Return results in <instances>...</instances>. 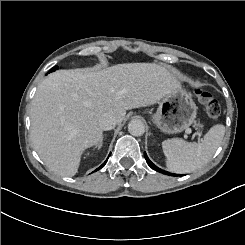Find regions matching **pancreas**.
<instances>
[{
    "instance_id": "cf45deb5",
    "label": "pancreas",
    "mask_w": 245,
    "mask_h": 245,
    "mask_svg": "<svg viewBox=\"0 0 245 245\" xmlns=\"http://www.w3.org/2000/svg\"><path fill=\"white\" fill-rule=\"evenodd\" d=\"M196 126H200V127H202V125H200V124H196Z\"/></svg>"
}]
</instances>
